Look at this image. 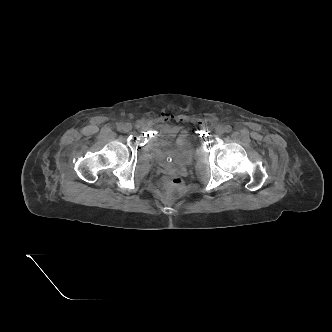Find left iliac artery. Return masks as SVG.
I'll return each instance as SVG.
<instances>
[{"label":"left iliac artery","instance_id":"obj_1","mask_svg":"<svg viewBox=\"0 0 332 332\" xmlns=\"http://www.w3.org/2000/svg\"><path fill=\"white\" fill-rule=\"evenodd\" d=\"M225 131H226L227 133H230V132L232 131V127H231L230 125H227V126L225 127Z\"/></svg>","mask_w":332,"mask_h":332}]
</instances>
